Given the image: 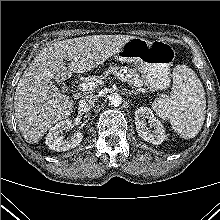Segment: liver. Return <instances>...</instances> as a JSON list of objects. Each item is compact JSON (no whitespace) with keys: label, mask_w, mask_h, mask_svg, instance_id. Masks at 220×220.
<instances>
[{"label":"liver","mask_w":220,"mask_h":220,"mask_svg":"<svg viewBox=\"0 0 220 220\" xmlns=\"http://www.w3.org/2000/svg\"><path fill=\"white\" fill-rule=\"evenodd\" d=\"M133 36L94 35L57 41L42 50L19 80L14 108L18 128L28 143H37L49 128L69 117L74 101L53 81L86 73L115 55ZM65 60L70 61L65 66Z\"/></svg>","instance_id":"obj_1"}]
</instances>
